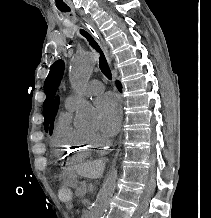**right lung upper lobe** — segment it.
I'll list each match as a JSON object with an SVG mask.
<instances>
[{
    "mask_svg": "<svg viewBox=\"0 0 211 218\" xmlns=\"http://www.w3.org/2000/svg\"><path fill=\"white\" fill-rule=\"evenodd\" d=\"M58 106H59V98L56 99L55 104H54L52 121L54 120V115L56 114L58 110ZM52 129H53V125H51L50 127V132H52Z\"/></svg>",
    "mask_w": 211,
    "mask_h": 218,
    "instance_id": "cb5924a9",
    "label": "right lung upper lobe"
}]
</instances>
